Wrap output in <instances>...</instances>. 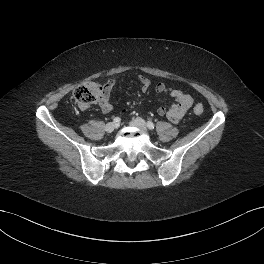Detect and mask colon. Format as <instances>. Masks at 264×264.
Here are the masks:
<instances>
[{
	"label": "colon",
	"mask_w": 264,
	"mask_h": 264,
	"mask_svg": "<svg viewBox=\"0 0 264 264\" xmlns=\"http://www.w3.org/2000/svg\"><path fill=\"white\" fill-rule=\"evenodd\" d=\"M105 92V87L97 82H86L74 90L73 97L75 102L81 108H87L88 106L99 102ZM204 111L201 104L194 106V112L196 114H202Z\"/></svg>",
	"instance_id": "colon-1"
}]
</instances>
